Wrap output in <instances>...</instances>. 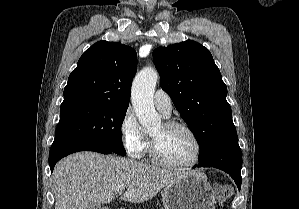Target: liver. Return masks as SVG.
I'll use <instances>...</instances> for the list:
<instances>
[{"instance_id": "obj_1", "label": "liver", "mask_w": 299, "mask_h": 209, "mask_svg": "<svg viewBox=\"0 0 299 209\" xmlns=\"http://www.w3.org/2000/svg\"><path fill=\"white\" fill-rule=\"evenodd\" d=\"M190 173L94 152L75 153L54 168L55 209H87L91 203H108L119 186L126 187L121 199L142 203Z\"/></svg>"}]
</instances>
